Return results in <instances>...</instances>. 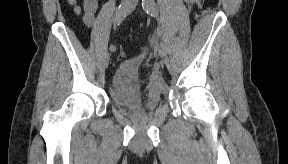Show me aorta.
<instances>
[{"mask_svg": "<svg viewBox=\"0 0 288 164\" xmlns=\"http://www.w3.org/2000/svg\"><path fill=\"white\" fill-rule=\"evenodd\" d=\"M149 6L150 8H155L154 0H143V8H145V10H149Z\"/></svg>", "mask_w": 288, "mask_h": 164, "instance_id": "aorta-1", "label": "aorta"}]
</instances>
